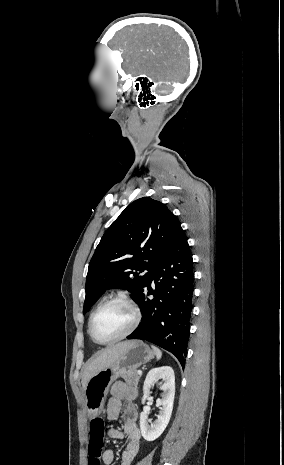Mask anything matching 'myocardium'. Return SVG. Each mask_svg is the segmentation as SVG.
<instances>
[{"label": "myocardium", "mask_w": 284, "mask_h": 465, "mask_svg": "<svg viewBox=\"0 0 284 465\" xmlns=\"http://www.w3.org/2000/svg\"><path fill=\"white\" fill-rule=\"evenodd\" d=\"M113 303H121V304H124V305L128 306L131 309L132 314H133V322H132L130 328L127 330V332H125L123 335H121V336H119V337H117V338H115L113 340L99 341V340H97L95 338V336L93 335V331H92L94 319H95L96 315L99 313V311L103 307H105V306H107L109 304H113ZM141 316L142 315H141V311H140L139 306L137 305V303L132 298H130L128 296L117 295V296L111 297L109 299H106L96 307V309L93 311V313L90 316L89 323H88V332H89L90 338L92 339L93 342H95L98 345H111V344L118 343V342L130 337L134 333V331L139 326V323L141 321Z\"/></svg>", "instance_id": "obj_1"}]
</instances>
